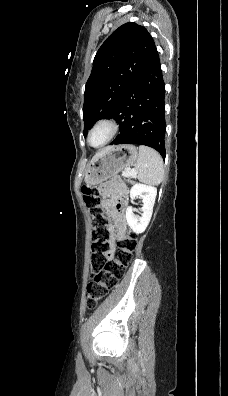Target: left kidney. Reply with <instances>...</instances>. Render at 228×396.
<instances>
[{
    "instance_id": "obj_1",
    "label": "left kidney",
    "mask_w": 228,
    "mask_h": 396,
    "mask_svg": "<svg viewBox=\"0 0 228 396\" xmlns=\"http://www.w3.org/2000/svg\"><path fill=\"white\" fill-rule=\"evenodd\" d=\"M156 195L157 189L153 186L136 183L131 187L130 197L132 202L137 197L141 198L143 202L141 217L133 213L134 209L132 206L126 209V220L133 232L139 234L147 228L153 213Z\"/></svg>"
}]
</instances>
